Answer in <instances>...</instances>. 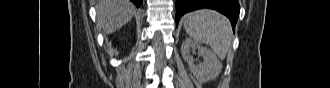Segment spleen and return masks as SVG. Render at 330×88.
Returning <instances> with one entry per match:
<instances>
[{"instance_id":"spleen-1","label":"spleen","mask_w":330,"mask_h":88,"mask_svg":"<svg viewBox=\"0 0 330 88\" xmlns=\"http://www.w3.org/2000/svg\"><path fill=\"white\" fill-rule=\"evenodd\" d=\"M186 33L195 41L207 44L224 59L231 48L232 28L229 20L211 9L187 13L183 17Z\"/></svg>"}]
</instances>
